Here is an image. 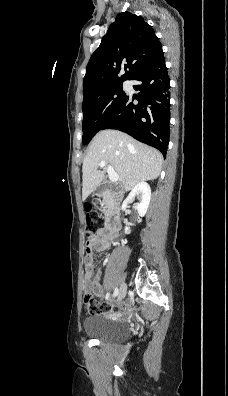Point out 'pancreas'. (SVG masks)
<instances>
[{"mask_svg":"<svg viewBox=\"0 0 228 396\" xmlns=\"http://www.w3.org/2000/svg\"><path fill=\"white\" fill-rule=\"evenodd\" d=\"M106 201H107V197L105 196L103 202L106 203ZM104 212L106 213V207H104Z\"/></svg>","mask_w":228,"mask_h":396,"instance_id":"pancreas-1","label":"pancreas"}]
</instances>
